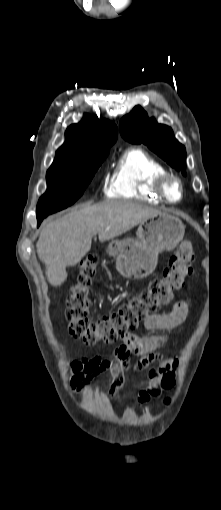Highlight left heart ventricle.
Masks as SVG:
<instances>
[{
    "label": "left heart ventricle",
    "instance_id": "b2bd125f",
    "mask_svg": "<svg viewBox=\"0 0 221 510\" xmlns=\"http://www.w3.org/2000/svg\"><path fill=\"white\" fill-rule=\"evenodd\" d=\"M170 193H171L172 198L179 197V190L174 184H171V186H170Z\"/></svg>",
    "mask_w": 221,
    "mask_h": 510
}]
</instances>
